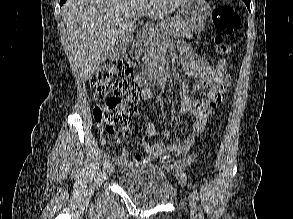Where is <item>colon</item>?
<instances>
[{
  "label": "colon",
  "mask_w": 293,
  "mask_h": 219,
  "mask_svg": "<svg viewBox=\"0 0 293 219\" xmlns=\"http://www.w3.org/2000/svg\"><path fill=\"white\" fill-rule=\"evenodd\" d=\"M215 27L222 33L215 39V53L220 56L231 51V45L224 35H232L240 29L241 19L231 6H219L213 12ZM140 59V51L133 48L121 58L102 65L89 79L90 86L99 97L105 99L93 109L95 121L107 134H113L117 126H127L137 110L136 102L142 91L130 81L133 69ZM218 72L225 74L227 64L220 60L216 66ZM170 152H164L161 158L167 166L176 171L181 178L182 170L194 163L196 156L181 160H171Z\"/></svg>",
  "instance_id": "1"
}]
</instances>
